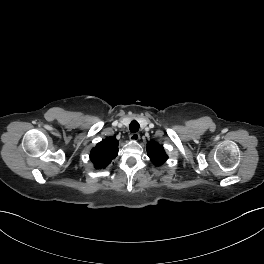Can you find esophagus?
<instances>
[{"label":"esophagus","instance_id":"34e87169","mask_svg":"<svg viewBox=\"0 0 264 264\" xmlns=\"http://www.w3.org/2000/svg\"><path fill=\"white\" fill-rule=\"evenodd\" d=\"M129 139L131 141H138L140 139V135L138 133H132L130 136H129Z\"/></svg>","mask_w":264,"mask_h":264}]
</instances>
